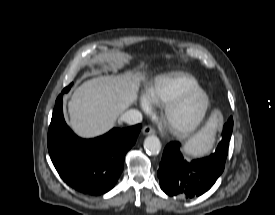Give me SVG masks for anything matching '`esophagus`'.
Returning <instances> with one entry per match:
<instances>
[{"instance_id": "esophagus-1", "label": "esophagus", "mask_w": 275, "mask_h": 215, "mask_svg": "<svg viewBox=\"0 0 275 215\" xmlns=\"http://www.w3.org/2000/svg\"><path fill=\"white\" fill-rule=\"evenodd\" d=\"M142 132L144 135H151V134H154L155 133V130L153 127L151 126H145L143 129H142Z\"/></svg>"}]
</instances>
